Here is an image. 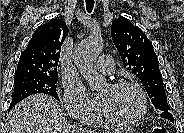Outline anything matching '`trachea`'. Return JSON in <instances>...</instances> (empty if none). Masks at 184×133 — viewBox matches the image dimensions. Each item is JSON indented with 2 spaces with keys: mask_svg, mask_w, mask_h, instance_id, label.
<instances>
[{
  "mask_svg": "<svg viewBox=\"0 0 184 133\" xmlns=\"http://www.w3.org/2000/svg\"><path fill=\"white\" fill-rule=\"evenodd\" d=\"M94 8V0H86V10L88 13H91Z\"/></svg>",
  "mask_w": 184,
  "mask_h": 133,
  "instance_id": "1",
  "label": "trachea"
}]
</instances>
